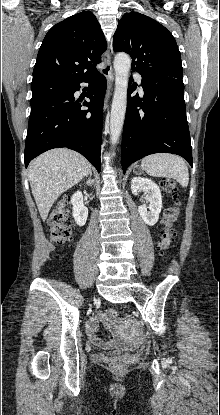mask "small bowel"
Masks as SVG:
<instances>
[{
    "label": "small bowel",
    "mask_w": 220,
    "mask_h": 415,
    "mask_svg": "<svg viewBox=\"0 0 220 415\" xmlns=\"http://www.w3.org/2000/svg\"><path fill=\"white\" fill-rule=\"evenodd\" d=\"M103 323L106 327H110L109 323L105 320V315L101 312L96 318H92L86 328L87 335L91 342L103 349H109L111 341L106 340L99 336V323Z\"/></svg>",
    "instance_id": "obj_1"
}]
</instances>
